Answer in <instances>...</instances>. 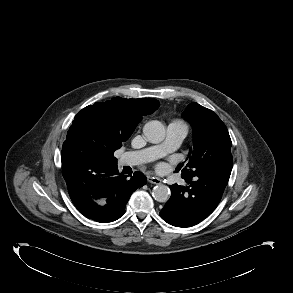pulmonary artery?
Returning <instances> with one entry per match:
<instances>
[{"instance_id":"pulmonary-artery-1","label":"pulmonary artery","mask_w":293,"mask_h":293,"mask_svg":"<svg viewBox=\"0 0 293 293\" xmlns=\"http://www.w3.org/2000/svg\"><path fill=\"white\" fill-rule=\"evenodd\" d=\"M187 135V127L179 122H172L167 127V136L163 143L146 149L127 152L121 157V165L135 166L156 160L175 151Z\"/></svg>"}]
</instances>
